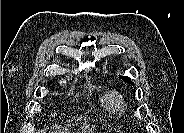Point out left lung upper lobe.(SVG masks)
Returning a JSON list of instances; mask_svg holds the SVG:
<instances>
[{
	"instance_id": "obj_1",
	"label": "left lung upper lobe",
	"mask_w": 184,
	"mask_h": 133,
	"mask_svg": "<svg viewBox=\"0 0 184 133\" xmlns=\"http://www.w3.org/2000/svg\"><path fill=\"white\" fill-rule=\"evenodd\" d=\"M121 79H123L125 82L131 84V85H134V82L131 81V79L127 76H120Z\"/></svg>"
}]
</instances>
